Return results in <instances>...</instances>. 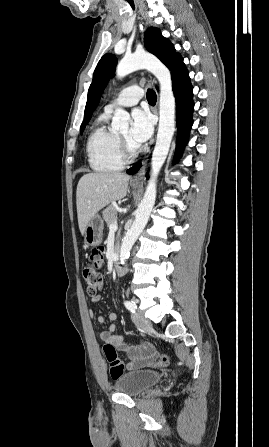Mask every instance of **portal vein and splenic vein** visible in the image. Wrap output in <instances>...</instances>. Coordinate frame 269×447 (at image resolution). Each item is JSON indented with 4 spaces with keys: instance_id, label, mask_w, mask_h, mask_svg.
<instances>
[{
    "instance_id": "1",
    "label": "portal vein and splenic vein",
    "mask_w": 269,
    "mask_h": 447,
    "mask_svg": "<svg viewBox=\"0 0 269 447\" xmlns=\"http://www.w3.org/2000/svg\"><path fill=\"white\" fill-rule=\"evenodd\" d=\"M119 223H120V220L118 219V217H115V219L113 220V224L109 225L110 231H117Z\"/></svg>"
}]
</instances>
